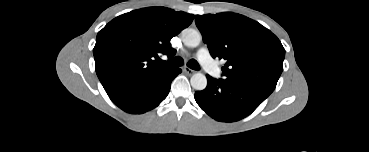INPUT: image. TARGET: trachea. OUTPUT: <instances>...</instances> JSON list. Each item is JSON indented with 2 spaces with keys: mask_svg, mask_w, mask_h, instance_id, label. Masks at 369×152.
Here are the masks:
<instances>
[{
  "mask_svg": "<svg viewBox=\"0 0 369 152\" xmlns=\"http://www.w3.org/2000/svg\"><path fill=\"white\" fill-rule=\"evenodd\" d=\"M160 63L163 64V65L178 67V66L183 65V59L178 56V57H174L173 59L168 60V61H162L161 60ZM187 66L191 69H194V70H200V66H199L198 62L194 59L189 60L188 63H187Z\"/></svg>",
  "mask_w": 369,
  "mask_h": 152,
  "instance_id": "1",
  "label": "trachea"
}]
</instances>
